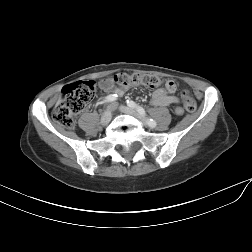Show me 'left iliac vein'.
Returning <instances> with one entry per match:
<instances>
[{
	"label": "left iliac vein",
	"mask_w": 252,
	"mask_h": 252,
	"mask_svg": "<svg viewBox=\"0 0 252 252\" xmlns=\"http://www.w3.org/2000/svg\"><path fill=\"white\" fill-rule=\"evenodd\" d=\"M119 109L121 112L128 114V115H132V116L136 117L137 119L141 120L144 124H146L145 119L141 115H139L135 110H133L132 108H129L127 106H120Z\"/></svg>",
	"instance_id": "obj_1"
}]
</instances>
